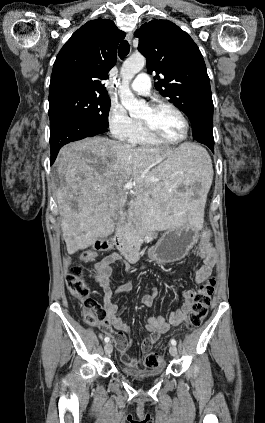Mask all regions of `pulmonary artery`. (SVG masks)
<instances>
[{
	"label": "pulmonary artery",
	"mask_w": 265,
	"mask_h": 423,
	"mask_svg": "<svg viewBox=\"0 0 265 423\" xmlns=\"http://www.w3.org/2000/svg\"><path fill=\"white\" fill-rule=\"evenodd\" d=\"M131 90L142 96H148L151 90V82L147 74L141 73L132 82L130 86Z\"/></svg>",
	"instance_id": "pulmonary-artery-1"
}]
</instances>
